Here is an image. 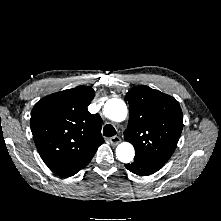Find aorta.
<instances>
[{
    "instance_id": "762f6f07",
    "label": "aorta",
    "mask_w": 221,
    "mask_h": 221,
    "mask_svg": "<svg viewBox=\"0 0 221 221\" xmlns=\"http://www.w3.org/2000/svg\"><path fill=\"white\" fill-rule=\"evenodd\" d=\"M127 106L121 99H109L104 105V114L115 122L124 121L127 117ZM135 155L134 147L129 142H122L116 148V156L123 163H130Z\"/></svg>"
}]
</instances>
